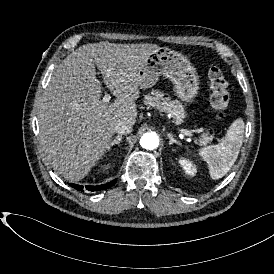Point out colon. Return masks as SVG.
Masks as SVG:
<instances>
[{
  "label": "colon",
  "mask_w": 274,
  "mask_h": 274,
  "mask_svg": "<svg viewBox=\"0 0 274 274\" xmlns=\"http://www.w3.org/2000/svg\"><path fill=\"white\" fill-rule=\"evenodd\" d=\"M207 78L211 88L210 105L217 116L222 118L230 105L231 95L228 83L222 70L217 65L209 66Z\"/></svg>",
  "instance_id": "1"
}]
</instances>
